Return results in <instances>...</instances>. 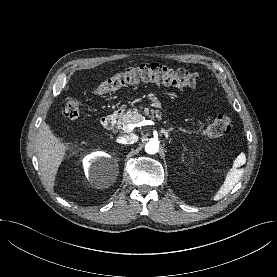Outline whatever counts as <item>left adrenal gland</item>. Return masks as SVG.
I'll use <instances>...</instances> for the list:
<instances>
[{
	"label": "left adrenal gland",
	"instance_id": "obj_1",
	"mask_svg": "<svg viewBox=\"0 0 277 277\" xmlns=\"http://www.w3.org/2000/svg\"><path fill=\"white\" fill-rule=\"evenodd\" d=\"M172 130V128H169L168 130L162 129L161 133H163L166 137V139L169 138V132Z\"/></svg>",
	"mask_w": 277,
	"mask_h": 277
}]
</instances>
